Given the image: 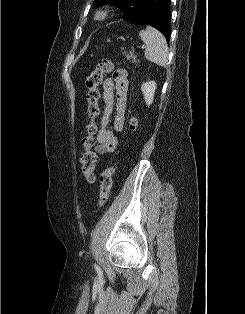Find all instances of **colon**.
I'll list each match as a JSON object with an SVG mask.
<instances>
[{
  "instance_id": "5ec220e1",
  "label": "colon",
  "mask_w": 245,
  "mask_h": 314,
  "mask_svg": "<svg viewBox=\"0 0 245 314\" xmlns=\"http://www.w3.org/2000/svg\"><path fill=\"white\" fill-rule=\"evenodd\" d=\"M113 62L110 59H102L98 62L95 69L88 76L87 85V114L89 117V123L85 127V137L82 140L84 147L83 154L81 155L82 173L86 182L93 183L95 181V166L97 156L93 151L95 144V133L97 130L96 118L99 114L98 100H99V86L102 83L103 76L112 71ZM137 127V119L135 117L130 118L129 129L135 131ZM116 171V166H111L105 169L101 174L100 185V197L99 206L102 207L107 202L110 190L112 187V177Z\"/></svg>"
}]
</instances>
